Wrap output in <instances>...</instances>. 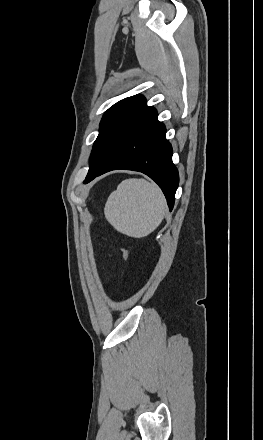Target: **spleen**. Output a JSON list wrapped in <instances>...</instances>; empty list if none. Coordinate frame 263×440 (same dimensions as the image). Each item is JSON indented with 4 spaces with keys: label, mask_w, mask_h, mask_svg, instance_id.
I'll use <instances>...</instances> for the list:
<instances>
[{
    "label": "spleen",
    "mask_w": 263,
    "mask_h": 440,
    "mask_svg": "<svg viewBox=\"0 0 263 440\" xmlns=\"http://www.w3.org/2000/svg\"><path fill=\"white\" fill-rule=\"evenodd\" d=\"M167 212L161 189L145 179H126L105 204L106 220L120 233L141 238L152 233Z\"/></svg>",
    "instance_id": "spleen-1"
}]
</instances>
